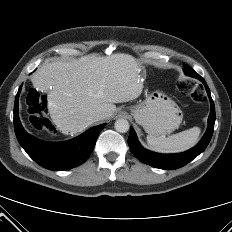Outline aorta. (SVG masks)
Listing matches in <instances>:
<instances>
[{
    "instance_id": "obj_1",
    "label": "aorta",
    "mask_w": 232,
    "mask_h": 232,
    "mask_svg": "<svg viewBox=\"0 0 232 232\" xmlns=\"http://www.w3.org/2000/svg\"><path fill=\"white\" fill-rule=\"evenodd\" d=\"M116 131L120 132V133H125L129 130V122L126 119H118L115 121V125H114Z\"/></svg>"
}]
</instances>
